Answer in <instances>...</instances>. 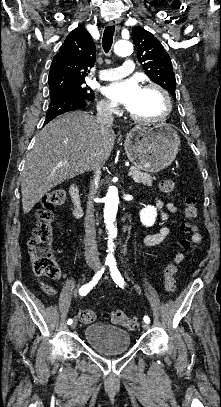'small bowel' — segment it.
<instances>
[{
  "label": "small bowel",
  "instance_id": "1",
  "mask_svg": "<svg viewBox=\"0 0 221 407\" xmlns=\"http://www.w3.org/2000/svg\"><path fill=\"white\" fill-rule=\"evenodd\" d=\"M154 202H155L156 207L159 209V217H160V219H161L162 221L167 220V219H168V216H169V213L175 212V210H176V207L174 206V204H173L172 202H169V203L166 204V207H167V210H168V211H165V210L163 209L164 204H163V202H162L160 199L155 198V199H154ZM168 234H169L168 228L162 227L158 232H156V233H154V234H152V235H149V236L147 237V239H146V244L149 245V246L157 245V244H159ZM192 240H193L195 243L200 242V240H201V235H200L198 232H195V233L193 234V236H192ZM182 256H183L182 254H178V255H177V257H180V258H181ZM56 278H57V279L62 278V274H61V272H60L59 269H58V274H57V277H56ZM39 285H40L41 289H42L47 295H49L50 297H55V296L57 295V290H56L54 287H52L51 285H49L48 283H46V282L40 280Z\"/></svg>",
  "mask_w": 221,
  "mask_h": 407
}]
</instances>
